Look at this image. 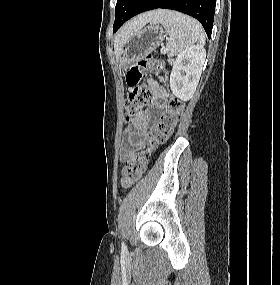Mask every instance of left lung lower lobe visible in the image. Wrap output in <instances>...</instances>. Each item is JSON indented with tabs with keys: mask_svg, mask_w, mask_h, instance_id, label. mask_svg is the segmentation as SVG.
<instances>
[{
	"mask_svg": "<svg viewBox=\"0 0 280 285\" xmlns=\"http://www.w3.org/2000/svg\"><path fill=\"white\" fill-rule=\"evenodd\" d=\"M216 0H139L133 8L129 19L133 16L157 8L176 10L196 18L203 25L210 38ZM117 30H114L116 32Z\"/></svg>",
	"mask_w": 280,
	"mask_h": 285,
	"instance_id": "1",
	"label": "left lung lower lobe"
}]
</instances>
